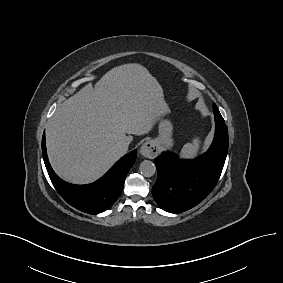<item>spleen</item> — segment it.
I'll list each match as a JSON object with an SVG mask.
<instances>
[{"label":"spleen","instance_id":"1","mask_svg":"<svg viewBox=\"0 0 283 283\" xmlns=\"http://www.w3.org/2000/svg\"><path fill=\"white\" fill-rule=\"evenodd\" d=\"M200 149L199 138H194L192 143H187L183 146L181 150V156L183 158H194L197 156Z\"/></svg>","mask_w":283,"mask_h":283}]
</instances>
